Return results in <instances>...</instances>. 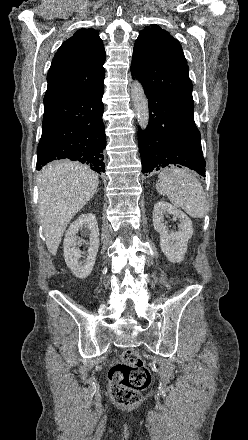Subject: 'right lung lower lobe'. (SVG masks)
Instances as JSON below:
<instances>
[{
    "instance_id": "98d812e1",
    "label": "right lung lower lobe",
    "mask_w": 248,
    "mask_h": 440,
    "mask_svg": "<svg viewBox=\"0 0 248 440\" xmlns=\"http://www.w3.org/2000/svg\"><path fill=\"white\" fill-rule=\"evenodd\" d=\"M103 93L104 85L44 106L37 170L48 162L67 158L85 163L98 173L105 172Z\"/></svg>"
}]
</instances>
